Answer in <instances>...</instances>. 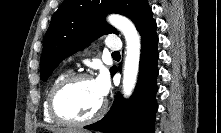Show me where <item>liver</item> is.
<instances>
[{
  "label": "liver",
  "instance_id": "1",
  "mask_svg": "<svg viewBox=\"0 0 221 133\" xmlns=\"http://www.w3.org/2000/svg\"><path fill=\"white\" fill-rule=\"evenodd\" d=\"M54 133H77V130H73V129H54L53 130ZM88 133V132H86Z\"/></svg>",
  "mask_w": 221,
  "mask_h": 133
}]
</instances>
